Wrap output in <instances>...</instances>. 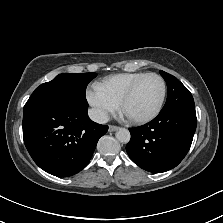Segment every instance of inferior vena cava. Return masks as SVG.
Segmentation results:
<instances>
[{"mask_svg":"<svg viewBox=\"0 0 223 223\" xmlns=\"http://www.w3.org/2000/svg\"><path fill=\"white\" fill-rule=\"evenodd\" d=\"M90 119L99 124H105L109 121V116L102 110L96 108H90L88 110Z\"/></svg>","mask_w":223,"mask_h":223,"instance_id":"inferior-vena-cava-1","label":"inferior vena cava"}]
</instances>
